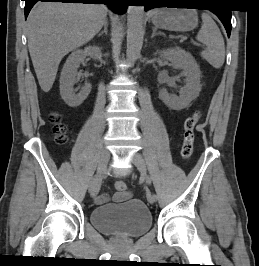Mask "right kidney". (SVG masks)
<instances>
[{
  "label": "right kidney",
  "mask_w": 259,
  "mask_h": 266,
  "mask_svg": "<svg viewBox=\"0 0 259 266\" xmlns=\"http://www.w3.org/2000/svg\"><path fill=\"white\" fill-rule=\"evenodd\" d=\"M100 55L101 49L98 46H87L84 49L73 51L66 60L60 76V94L65 103L70 107L81 105L90 94L92 88L90 83H86L78 94L75 93L77 90L73 86L79 65L87 56L96 60L100 58Z\"/></svg>",
  "instance_id": "1"
}]
</instances>
